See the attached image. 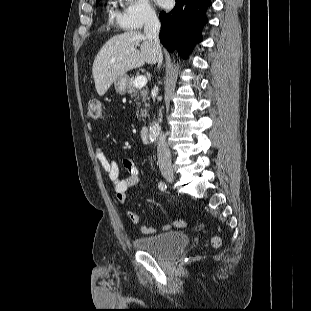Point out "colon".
Instances as JSON below:
<instances>
[{
	"instance_id": "5ec220e1",
	"label": "colon",
	"mask_w": 311,
	"mask_h": 311,
	"mask_svg": "<svg viewBox=\"0 0 311 311\" xmlns=\"http://www.w3.org/2000/svg\"><path fill=\"white\" fill-rule=\"evenodd\" d=\"M86 117L90 121H101L104 117L103 106L99 99L93 98L88 102ZM198 229L204 228L203 223L197 225ZM211 244L215 247L220 245V239L218 236H213L211 239Z\"/></svg>"
}]
</instances>
